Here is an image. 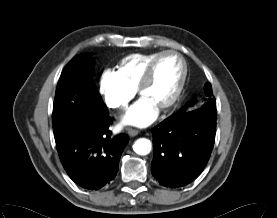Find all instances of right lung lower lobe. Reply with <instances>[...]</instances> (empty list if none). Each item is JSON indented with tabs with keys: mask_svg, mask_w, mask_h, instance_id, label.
Wrapping results in <instances>:
<instances>
[{
	"mask_svg": "<svg viewBox=\"0 0 277 218\" xmlns=\"http://www.w3.org/2000/svg\"><path fill=\"white\" fill-rule=\"evenodd\" d=\"M88 95L83 85L63 82L58 84L55 98L82 104ZM112 119L108 114L102 116L56 143L67 174L83 188H102L118 172L120 156L128 143V137L126 134L111 137L108 128Z\"/></svg>",
	"mask_w": 277,
	"mask_h": 218,
	"instance_id": "98d812e1",
	"label": "right lung lower lobe"
}]
</instances>
